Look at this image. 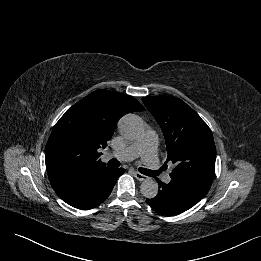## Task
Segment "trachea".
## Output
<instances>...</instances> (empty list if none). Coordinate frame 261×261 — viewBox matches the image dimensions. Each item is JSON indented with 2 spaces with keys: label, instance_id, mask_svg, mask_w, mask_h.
<instances>
[{
  "label": "trachea",
  "instance_id": "3493384b",
  "mask_svg": "<svg viewBox=\"0 0 261 261\" xmlns=\"http://www.w3.org/2000/svg\"><path fill=\"white\" fill-rule=\"evenodd\" d=\"M108 165L111 166V167H119L120 162L117 159L113 158L108 162ZM139 171L142 174L147 175V176H151V177H153L157 174L155 171H152V170H149V169H146V168H142V167L139 168Z\"/></svg>",
  "mask_w": 261,
  "mask_h": 261
}]
</instances>
